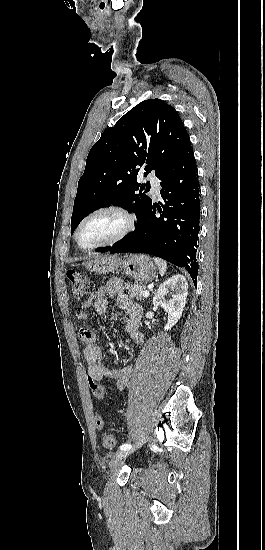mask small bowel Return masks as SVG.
Wrapping results in <instances>:
<instances>
[{
	"mask_svg": "<svg viewBox=\"0 0 265 550\" xmlns=\"http://www.w3.org/2000/svg\"><path fill=\"white\" fill-rule=\"evenodd\" d=\"M110 295H117V306L127 316L125 331L128 338L135 344L142 343L143 335L139 330V321L142 313L141 306L133 302L124 292L123 284L118 279L110 280L107 284L100 287L93 296L85 300L82 303L80 317L87 318L86 310L91 306L94 307L95 312L99 315L106 313L109 308L108 298ZM80 340L84 344L83 356L88 366V379H92L98 383L104 396L106 393V386L103 384V379L105 377L114 379V387L117 390H123L129 381L131 368L129 366L118 369L106 367L102 362V353L99 346L96 344V334L93 330L88 328L81 329ZM93 395L97 398L94 393Z\"/></svg>",
	"mask_w": 265,
	"mask_h": 550,
	"instance_id": "small-bowel-1",
	"label": "small bowel"
}]
</instances>
